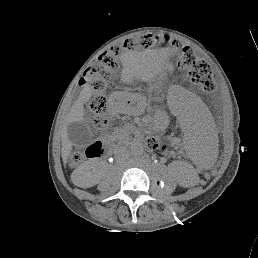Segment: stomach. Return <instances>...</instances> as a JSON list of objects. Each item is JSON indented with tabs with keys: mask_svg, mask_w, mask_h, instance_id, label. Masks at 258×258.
Here are the masks:
<instances>
[{
	"mask_svg": "<svg viewBox=\"0 0 258 258\" xmlns=\"http://www.w3.org/2000/svg\"><path fill=\"white\" fill-rule=\"evenodd\" d=\"M122 98H123V100H125V101L129 100V96L126 95V94H123V95H122Z\"/></svg>",
	"mask_w": 258,
	"mask_h": 258,
	"instance_id": "obj_1",
	"label": "stomach"
}]
</instances>
